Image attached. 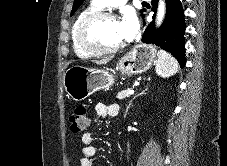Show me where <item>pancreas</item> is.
<instances>
[{"label":"pancreas","instance_id":"obj_1","mask_svg":"<svg viewBox=\"0 0 227 166\" xmlns=\"http://www.w3.org/2000/svg\"><path fill=\"white\" fill-rule=\"evenodd\" d=\"M129 90H130V89H125V90L119 92V93L117 94V98H118V99H124V98L128 97V96H129V95H128V91H129Z\"/></svg>","mask_w":227,"mask_h":166}]
</instances>
